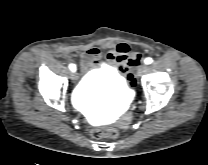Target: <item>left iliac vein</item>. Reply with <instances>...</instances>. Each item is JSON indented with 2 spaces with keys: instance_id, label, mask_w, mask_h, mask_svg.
<instances>
[{
  "instance_id": "obj_1",
  "label": "left iliac vein",
  "mask_w": 208,
  "mask_h": 165,
  "mask_svg": "<svg viewBox=\"0 0 208 165\" xmlns=\"http://www.w3.org/2000/svg\"><path fill=\"white\" fill-rule=\"evenodd\" d=\"M146 70H147V65L145 64L140 65L137 69V75L142 76L146 72Z\"/></svg>"
}]
</instances>
